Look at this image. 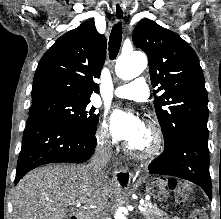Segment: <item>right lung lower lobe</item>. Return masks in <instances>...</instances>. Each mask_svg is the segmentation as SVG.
Here are the masks:
<instances>
[{
    "label": "right lung lower lobe",
    "mask_w": 221,
    "mask_h": 219,
    "mask_svg": "<svg viewBox=\"0 0 221 219\" xmlns=\"http://www.w3.org/2000/svg\"><path fill=\"white\" fill-rule=\"evenodd\" d=\"M95 134L77 130L60 121L29 116L23 135L14 183L30 170L53 162L82 163L94 153Z\"/></svg>",
    "instance_id": "1"
}]
</instances>
